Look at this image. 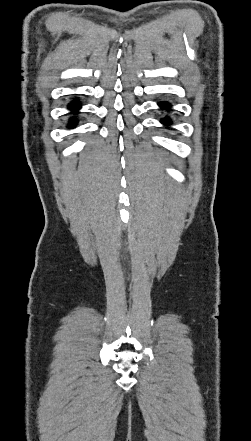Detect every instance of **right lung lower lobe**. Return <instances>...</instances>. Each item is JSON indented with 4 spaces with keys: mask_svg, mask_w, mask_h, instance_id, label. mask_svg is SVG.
I'll use <instances>...</instances> for the list:
<instances>
[{
    "mask_svg": "<svg viewBox=\"0 0 251 441\" xmlns=\"http://www.w3.org/2000/svg\"><path fill=\"white\" fill-rule=\"evenodd\" d=\"M80 107H81V105H80L77 101H73V102L69 105V108H70L71 110H73V111L78 110ZM75 124H76V120L72 119V120L69 122V127H74Z\"/></svg>",
    "mask_w": 251,
    "mask_h": 441,
    "instance_id": "98d812e1",
    "label": "right lung lower lobe"
}]
</instances>
